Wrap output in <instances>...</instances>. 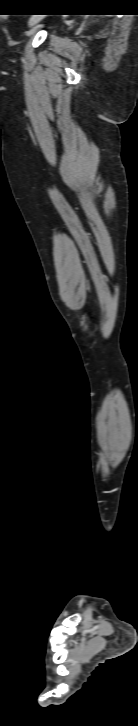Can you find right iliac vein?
<instances>
[{"mask_svg":"<svg viewBox=\"0 0 138 726\" xmlns=\"http://www.w3.org/2000/svg\"><path fill=\"white\" fill-rule=\"evenodd\" d=\"M40 20H41V17H40V16H33V17H32V18H31V19L29 20V23H28L29 27H32V26H34V25H35V24H37V23H38V22H39Z\"/></svg>","mask_w":138,"mask_h":726,"instance_id":"right-iliac-vein-1","label":"right iliac vein"}]
</instances>
